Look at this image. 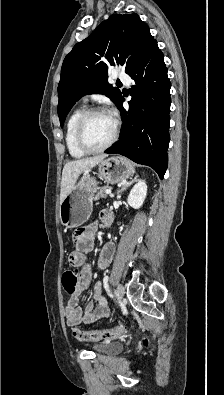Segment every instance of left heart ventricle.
<instances>
[{
	"mask_svg": "<svg viewBox=\"0 0 224 395\" xmlns=\"http://www.w3.org/2000/svg\"><path fill=\"white\" fill-rule=\"evenodd\" d=\"M113 130L114 121L110 115H93L85 126V140L91 147H101L111 138Z\"/></svg>",
	"mask_w": 224,
	"mask_h": 395,
	"instance_id": "1",
	"label": "left heart ventricle"
}]
</instances>
